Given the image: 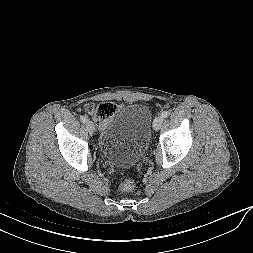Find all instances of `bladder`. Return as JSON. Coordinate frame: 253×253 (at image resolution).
<instances>
[{"mask_svg":"<svg viewBox=\"0 0 253 253\" xmlns=\"http://www.w3.org/2000/svg\"><path fill=\"white\" fill-rule=\"evenodd\" d=\"M152 119V111L145 104L120 108L101 130L99 148L103 157L118 167L139 163L148 149Z\"/></svg>","mask_w":253,"mask_h":253,"instance_id":"obj_1","label":"bladder"}]
</instances>
